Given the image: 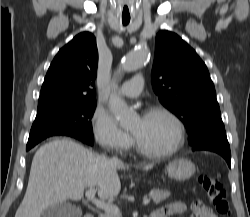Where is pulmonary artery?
<instances>
[{
	"label": "pulmonary artery",
	"mask_w": 250,
	"mask_h": 217,
	"mask_svg": "<svg viewBox=\"0 0 250 217\" xmlns=\"http://www.w3.org/2000/svg\"><path fill=\"white\" fill-rule=\"evenodd\" d=\"M143 88V77L141 75H137L133 77L131 80L125 82L120 90V95L124 97H137Z\"/></svg>",
	"instance_id": "e3ab8cb5"
}]
</instances>
